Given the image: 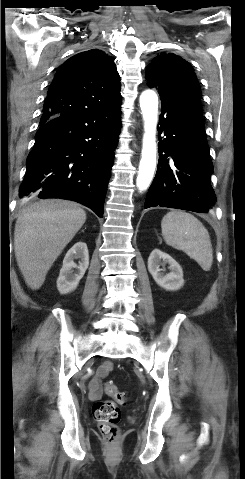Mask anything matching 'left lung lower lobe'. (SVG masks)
<instances>
[{"instance_id":"obj_1","label":"left lung lower lobe","mask_w":245,"mask_h":479,"mask_svg":"<svg viewBox=\"0 0 245 479\" xmlns=\"http://www.w3.org/2000/svg\"><path fill=\"white\" fill-rule=\"evenodd\" d=\"M161 100L159 163L144 207L207 213L215 196L200 99L188 95Z\"/></svg>"}]
</instances>
